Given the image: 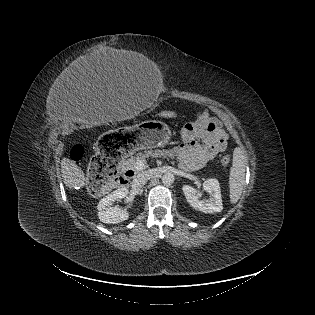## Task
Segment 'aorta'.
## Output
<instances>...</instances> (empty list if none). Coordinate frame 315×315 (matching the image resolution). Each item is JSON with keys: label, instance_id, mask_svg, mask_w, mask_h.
<instances>
[{"label": "aorta", "instance_id": "obj_1", "mask_svg": "<svg viewBox=\"0 0 315 315\" xmlns=\"http://www.w3.org/2000/svg\"><path fill=\"white\" fill-rule=\"evenodd\" d=\"M174 180H175V178H174V175L172 173H166L162 176V183L164 185L169 186V185L174 183Z\"/></svg>", "mask_w": 315, "mask_h": 315}]
</instances>
